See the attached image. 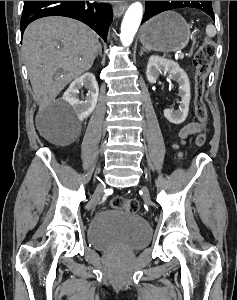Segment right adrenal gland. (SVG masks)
Returning a JSON list of instances; mask_svg holds the SVG:
<instances>
[{"instance_id":"1","label":"right adrenal gland","mask_w":237,"mask_h":300,"mask_svg":"<svg viewBox=\"0 0 237 300\" xmlns=\"http://www.w3.org/2000/svg\"><path fill=\"white\" fill-rule=\"evenodd\" d=\"M98 53H99V55H102V47H101V45H100V47H99Z\"/></svg>"}]
</instances>
